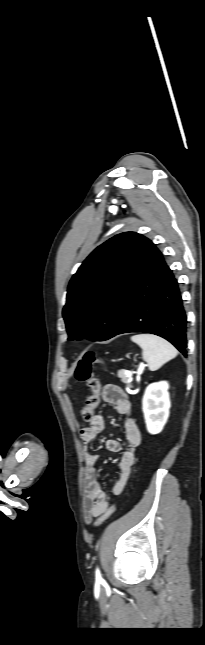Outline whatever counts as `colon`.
<instances>
[{
    "instance_id": "colon-1",
    "label": "colon",
    "mask_w": 205,
    "mask_h": 645,
    "mask_svg": "<svg viewBox=\"0 0 205 645\" xmlns=\"http://www.w3.org/2000/svg\"><path fill=\"white\" fill-rule=\"evenodd\" d=\"M100 362L99 358L93 352L85 353L78 361L75 367V377L78 381L85 383L92 391L91 396L86 401L81 410V417L84 421H90L93 417L94 409L99 403L100 383L93 372V365ZM116 505L108 507L95 521V527L101 526L115 512Z\"/></svg>"
}]
</instances>
